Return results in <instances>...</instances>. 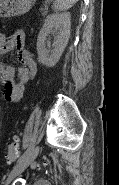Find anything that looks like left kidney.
Wrapping results in <instances>:
<instances>
[{"instance_id":"left-kidney-1","label":"left kidney","mask_w":119,"mask_h":185,"mask_svg":"<svg viewBox=\"0 0 119 185\" xmlns=\"http://www.w3.org/2000/svg\"><path fill=\"white\" fill-rule=\"evenodd\" d=\"M71 15L69 12L53 13L46 17L45 23L41 28L37 39L38 61L47 67H53L59 61L64 49L66 48L71 27ZM58 29V36L51 51L45 48L46 36L53 28Z\"/></svg>"}]
</instances>
